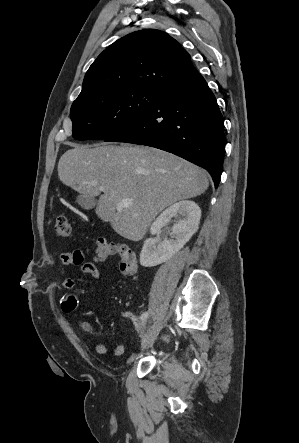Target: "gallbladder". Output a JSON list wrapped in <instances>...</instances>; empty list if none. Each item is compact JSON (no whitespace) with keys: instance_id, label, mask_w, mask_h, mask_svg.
Here are the masks:
<instances>
[{"instance_id":"gallbladder-1","label":"gallbladder","mask_w":299,"mask_h":443,"mask_svg":"<svg viewBox=\"0 0 299 443\" xmlns=\"http://www.w3.org/2000/svg\"><path fill=\"white\" fill-rule=\"evenodd\" d=\"M76 202L85 210H91L96 205L94 197L85 196L83 194L77 196Z\"/></svg>"}]
</instances>
